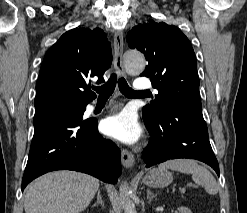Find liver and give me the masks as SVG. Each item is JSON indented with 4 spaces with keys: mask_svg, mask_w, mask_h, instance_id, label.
<instances>
[{
    "mask_svg": "<svg viewBox=\"0 0 247 213\" xmlns=\"http://www.w3.org/2000/svg\"><path fill=\"white\" fill-rule=\"evenodd\" d=\"M99 188V180L75 171L48 173L29 184L25 191V213H80Z\"/></svg>",
    "mask_w": 247,
    "mask_h": 213,
    "instance_id": "1",
    "label": "liver"
}]
</instances>
